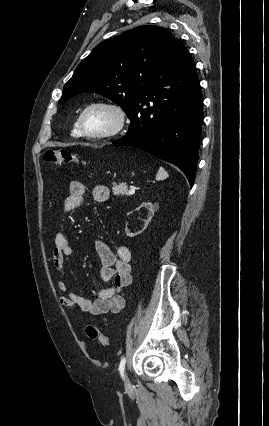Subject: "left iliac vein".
<instances>
[{"instance_id":"obj_1","label":"left iliac vein","mask_w":269,"mask_h":426,"mask_svg":"<svg viewBox=\"0 0 269 426\" xmlns=\"http://www.w3.org/2000/svg\"><path fill=\"white\" fill-rule=\"evenodd\" d=\"M130 387H131V383H130L128 376L126 375L125 376V388L130 389Z\"/></svg>"}]
</instances>
